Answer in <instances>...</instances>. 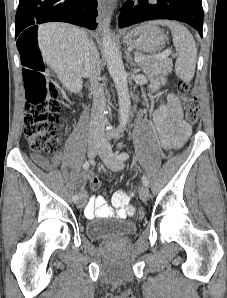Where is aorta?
Instances as JSON below:
<instances>
[{"instance_id": "aorta-1", "label": "aorta", "mask_w": 227, "mask_h": 298, "mask_svg": "<svg viewBox=\"0 0 227 298\" xmlns=\"http://www.w3.org/2000/svg\"><path fill=\"white\" fill-rule=\"evenodd\" d=\"M112 12L107 15L103 22V53L107 62L108 72L111 75L117 90L120 114V128L126 126L130 112V95L121 54L116 42L110 34V20Z\"/></svg>"}]
</instances>
